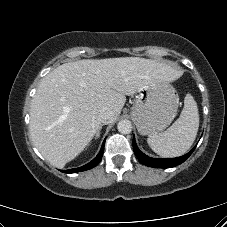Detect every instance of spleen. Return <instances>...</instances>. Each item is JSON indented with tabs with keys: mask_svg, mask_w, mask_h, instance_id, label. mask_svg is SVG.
I'll return each mask as SVG.
<instances>
[{
	"mask_svg": "<svg viewBox=\"0 0 227 227\" xmlns=\"http://www.w3.org/2000/svg\"><path fill=\"white\" fill-rule=\"evenodd\" d=\"M199 127L197 104L190 94L184 99V108L179 118L166 131L149 136L150 148L162 157H178L193 144Z\"/></svg>",
	"mask_w": 227,
	"mask_h": 227,
	"instance_id": "spleen-1",
	"label": "spleen"
}]
</instances>
